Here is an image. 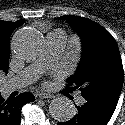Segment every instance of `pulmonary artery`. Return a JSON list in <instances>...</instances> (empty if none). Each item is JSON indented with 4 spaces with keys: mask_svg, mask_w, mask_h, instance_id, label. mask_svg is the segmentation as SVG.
<instances>
[{
    "mask_svg": "<svg viewBox=\"0 0 125 125\" xmlns=\"http://www.w3.org/2000/svg\"><path fill=\"white\" fill-rule=\"evenodd\" d=\"M66 42V35L62 30L47 33L45 49L40 58L34 64L26 67L20 73L5 81L3 83L4 91L9 93L35 82L49 64L59 60L66 47ZM77 102L83 104L84 99L79 96Z\"/></svg>",
    "mask_w": 125,
    "mask_h": 125,
    "instance_id": "e3ab8cb5",
    "label": "pulmonary artery"
}]
</instances>
